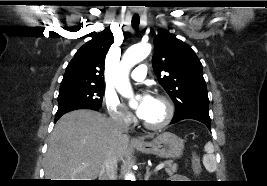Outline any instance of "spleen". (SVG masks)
I'll return each mask as SVG.
<instances>
[{
  "mask_svg": "<svg viewBox=\"0 0 267 186\" xmlns=\"http://www.w3.org/2000/svg\"><path fill=\"white\" fill-rule=\"evenodd\" d=\"M204 150L206 154L203 157V164L209 172L216 170V161L214 156V146L211 142L206 143Z\"/></svg>",
  "mask_w": 267,
  "mask_h": 186,
  "instance_id": "1",
  "label": "spleen"
}]
</instances>
